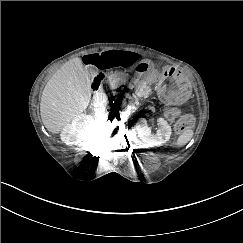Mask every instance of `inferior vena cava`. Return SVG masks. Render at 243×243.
Masks as SVG:
<instances>
[{
	"instance_id": "obj_1",
	"label": "inferior vena cava",
	"mask_w": 243,
	"mask_h": 243,
	"mask_svg": "<svg viewBox=\"0 0 243 243\" xmlns=\"http://www.w3.org/2000/svg\"><path fill=\"white\" fill-rule=\"evenodd\" d=\"M92 102L94 105L98 106L105 105L108 102L107 95L103 92H97L94 94Z\"/></svg>"
}]
</instances>
